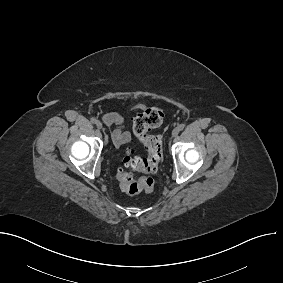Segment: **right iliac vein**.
<instances>
[{
	"instance_id": "1",
	"label": "right iliac vein",
	"mask_w": 283,
	"mask_h": 283,
	"mask_svg": "<svg viewBox=\"0 0 283 283\" xmlns=\"http://www.w3.org/2000/svg\"><path fill=\"white\" fill-rule=\"evenodd\" d=\"M96 126H97L98 129H101V128H102V123H101L100 121H98V122L96 123Z\"/></svg>"
}]
</instances>
